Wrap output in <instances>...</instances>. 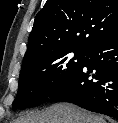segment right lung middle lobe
Returning a JSON list of instances; mask_svg holds the SVG:
<instances>
[{"label":"right lung middle lobe","instance_id":"dd1d6c3e","mask_svg":"<svg viewBox=\"0 0 118 123\" xmlns=\"http://www.w3.org/2000/svg\"><path fill=\"white\" fill-rule=\"evenodd\" d=\"M86 55L85 50L59 48L24 63L12 108L19 109L48 98L77 73Z\"/></svg>","mask_w":118,"mask_h":123}]
</instances>
